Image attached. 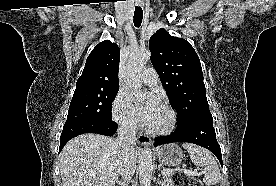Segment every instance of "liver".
<instances>
[{"mask_svg": "<svg viewBox=\"0 0 276 186\" xmlns=\"http://www.w3.org/2000/svg\"><path fill=\"white\" fill-rule=\"evenodd\" d=\"M131 154L136 160L138 151ZM120 166L116 141L93 133L71 139L59 157L63 186H115Z\"/></svg>", "mask_w": 276, "mask_h": 186, "instance_id": "6515ba94", "label": "liver"}]
</instances>
